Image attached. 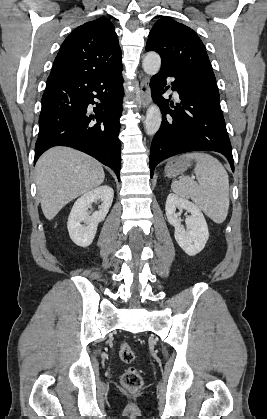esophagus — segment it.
Here are the masks:
<instances>
[{
	"mask_svg": "<svg viewBox=\"0 0 267 419\" xmlns=\"http://www.w3.org/2000/svg\"><path fill=\"white\" fill-rule=\"evenodd\" d=\"M151 102L149 77L144 76L140 84V103L146 108Z\"/></svg>",
	"mask_w": 267,
	"mask_h": 419,
	"instance_id": "obj_1",
	"label": "esophagus"
}]
</instances>
